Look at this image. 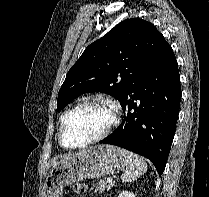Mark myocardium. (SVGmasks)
<instances>
[{"mask_svg":"<svg viewBox=\"0 0 209 197\" xmlns=\"http://www.w3.org/2000/svg\"><path fill=\"white\" fill-rule=\"evenodd\" d=\"M88 104H96V105H101V106L106 107L111 113V120H110L109 124L97 136H95V137H93V138H91L79 145H76V146L66 145L63 140V128H64V124H65L66 119L74 111H76L80 107H82L84 105H88ZM119 111H120L119 106L113 100H110V99L102 97V96H91V97H87V98L79 101L73 107H71L68 111H66L60 120L59 130H58V141H59L60 145L66 149H73L74 150V149L85 148L89 145L95 144V143L105 139L113 131V129L118 125Z\"/></svg>","mask_w":209,"mask_h":197,"instance_id":"obj_1","label":"myocardium"}]
</instances>
